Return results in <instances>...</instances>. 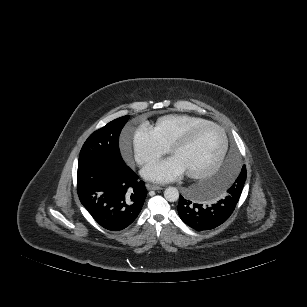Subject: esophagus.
Wrapping results in <instances>:
<instances>
[{
    "mask_svg": "<svg viewBox=\"0 0 307 307\" xmlns=\"http://www.w3.org/2000/svg\"><path fill=\"white\" fill-rule=\"evenodd\" d=\"M146 187L148 190H161L162 189V187L153 185V184H146Z\"/></svg>",
    "mask_w": 307,
    "mask_h": 307,
    "instance_id": "34e87169",
    "label": "esophagus"
}]
</instances>
